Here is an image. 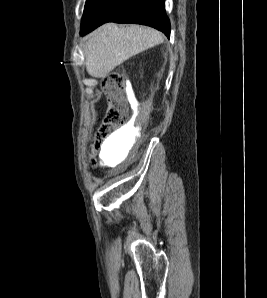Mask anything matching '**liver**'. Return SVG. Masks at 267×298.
Wrapping results in <instances>:
<instances>
[{
	"mask_svg": "<svg viewBox=\"0 0 267 298\" xmlns=\"http://www.w3.org/2000/svg\"><path fill=\"white\" fill-rule=\"evenodd\" d=\"M162 41L161 33L153 28L104 24L93 31L84 44L86 70L92 77H106L130 57Z\"/></svg>",
	"mask_w": 267,
	"mask_h": 298,
	"instance_id": "1",
	"label": "liver"
}]
</instances>
